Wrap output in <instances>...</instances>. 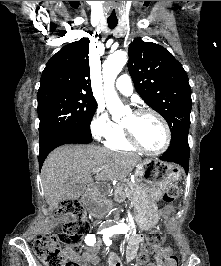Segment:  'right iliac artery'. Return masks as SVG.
Instances as JSON below:
<instances>
[{"mask_svg": "<svg viewBox=\"0 0 221 266\" xmlns=\"http://www.w3.org/2000/svg\"><path fill=\"white\" fill-rule=\"evenodd\" d=\"M106 232V231H105ZM104 233V232H103ZM102 233V234H103ZM85 242L89 246H93L96 243V238L94 234H88L85 238Z\"/></svg>", "mask_w": 221, "mask_h": 266, "instance_id": "right-iliac-artery-1", "label": "right iliac artery"}]
</instances>
